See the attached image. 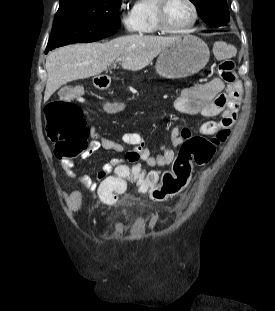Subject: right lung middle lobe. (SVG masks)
<instances>
[{
  "label": "right lung middle lobe",
  "instance_id": "1",
  "mask_svg": "<svg viewBox=\"0 0 275 311\" xmlns=\"http://www.w3.org/2000/svg\"><path fill=\"white\" fill-rule=\"evenodd\" d=\"M122 0H60L46 53L72 43L113 35L120 26Z\"/></svg>",
  "mask_w": 275,
  "mask_h": 311
}]
</instances>
